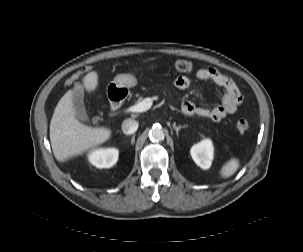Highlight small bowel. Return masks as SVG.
Listing matches in <instances>:
<instances>
[{"label": "small bowel", "instance_id": "c3829d8e", "mask_svg": "<svg viewBox=\"0 0 303 252\" xmlns=\"http://www.w3.org/2000/svg\"><path fill=\"white\" fill-rule=\"evenodd\" d=\"M198 80L212 83L221 89L222 96L211 107L197 106L192 101L186 100L181 104V112L184 115L209 118L218 122L228 114L234 113L243 101L242 93L237 85L229 77L212 68H201L192 77L179 76L174 80V86L179 90H184Z\"/></svg>", "mask_w": 303, "mask_h": 252}]
</instances>
